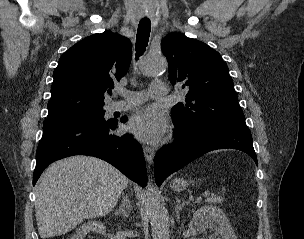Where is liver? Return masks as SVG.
Returning <instances> with one entry per match:
<instances>
[{"instance_id": "1", "label": "liver", "mask_w": 304, "mask_h": 239, "mask_svg": "<svg viewBox=\"0 0 304 239\" xmlns=\"http://www.w3.org/2000/svg\"><path fill=\"white\" fill-rule=\"evenodd\" d=\"M128 182L112 165L91 156H72L51 164L35 192L40 237L63 235L84 219L108 214Z\"/></svg>"}]
</instances>
